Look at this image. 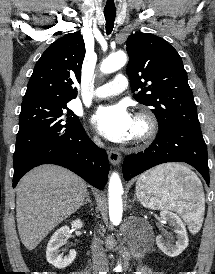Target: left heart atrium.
<instances>
[{"instance_id": "1", "label": "left heart atrium", "mask_w": 215, "mask_h": 274, "mask_svg": "<svg viewBox=\"0 0 215 274\" xmlns=\"http://www.w3.org/2000/svg\"><path fill=\"white\" fill-rule=\"evenodd\" d=\"M92 121L111 141L123 142L133 135L135 120L126 105L122 103L98 108Z\"/></svg>"}]
</instances>
